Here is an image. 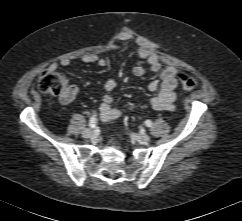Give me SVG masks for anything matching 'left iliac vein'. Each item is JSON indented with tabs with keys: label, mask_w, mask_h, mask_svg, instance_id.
Masks as SVG:
<instances>
[{
	"label": "left iliac vein",
	"mask_w": 242,
	"mask_h": 221,
	"mask_svg": "<svg viewBox=\"0 0 242 221\" xmlns=\"http://www.w3.org/2000/svg\"><path fill=\"white\" fill-rule=\"evenodd\" d=\"M135 139L141 144H147L150 142V136L147 134H137Z\"/></svg>",
	"instance_id": "obj_1"
}]
</instances>
